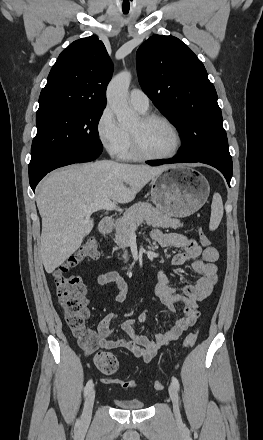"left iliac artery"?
I'll return each mask as SVG.
<instances>
[{
    "label": "left iliac artery",
    "mask_w": 263,
    "mask_h": 440,
    "mask_svg": "<svg viewBox=\"0 0 263 440\" xmlns=\"http://www.w3.org/2000/svg\"><path fill=\"white\" fill-rule=\"evenodd\" d=\"M172 384L175 386V388L177 389V390H179L180 389V385H179V381H178V379L176 378V377H172Z\"/></svg>",
    "instance_id": "1"
}]
</instances>
